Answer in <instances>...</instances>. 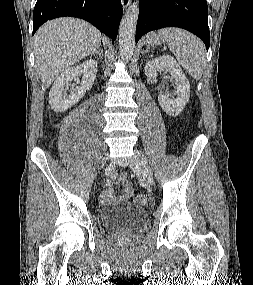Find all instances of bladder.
Listing matches in <instances>:
<instances>
[{"instance_id": "31cf9c89", "label": "bladder", "mask_w": 253, "mask_h": 285, "mask_svg": "<svg viewBox=\"0 0 253 285\" xmlns=\"http://www.w3.org/2000/svg\"><path fill=\"white\" fill-rule=\"evenodd\" d=\"M100 221L107 231H131L145 225L148 214L139 206L126 204L101 210Z\"/></svg>"}]
</instances>
